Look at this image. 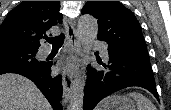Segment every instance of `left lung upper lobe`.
<instances>
[{
  "mask_svg": "<svg viewBox=\"0 0 171 110\" xmlns=\"http://www.w3.org/2000/svg\"><path fill=\"white\" fill-rule=\"evenodd\" d=\"M82 14L98 19V40L108 49L135 59L150 61L141 27L135 15L118 1H88Z\"/></svg>",
  "mask_w": 171,
  "mask_h": 110,
  "instance_id": "left-lung-upper-lobe-1",
  "label": "left lung upper lobe"
}]
</instances>
